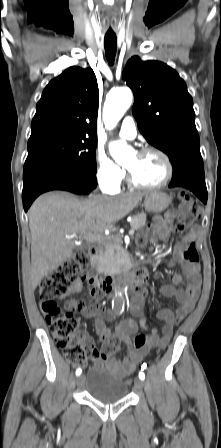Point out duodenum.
I'll list each match as a JSON object with an SVG mask.
<instances>
[{"mask_svg": "<svg viewBox=\"0 0 221 448\" xmlns=\"http://www.w3.org/2000/svg\"><path fill=\"white\" fill-rule=\"evenodd\" d=\"M90 261L93 270L98 272L99 253L95 248L90 250ZM143 280L144 271L124 269L119 272L104 274L103 277L97 276V278H95V286L99 293L109 294L118 283H123L133 289H137L142 285Z\"/></svg>", "mask_w": 221, "mask_h": 448, "instance_id": "obj_1", "label": "duodenum"}]
</instances>
